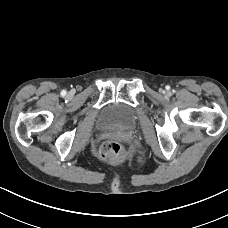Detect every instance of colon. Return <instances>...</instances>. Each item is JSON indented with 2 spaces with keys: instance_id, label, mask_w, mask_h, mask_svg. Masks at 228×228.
<instances>
[{
  "instance_id": "colon-1",
  "label": "colon",
  "mask_w": 228,
  "mask_h": 228,
  "mask_svg": "<svg viewBox=\"0 0 228 228\" xmlns=\"http://www.w3.org/2000/svg\"><path fill=\"white\" fill-rule=\"evenodd\" d=\"M123 146L117 141H106L100 148V154L102 157H117L122 154Z\"/></svg>"
}]
</instances>
